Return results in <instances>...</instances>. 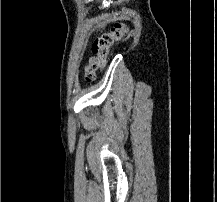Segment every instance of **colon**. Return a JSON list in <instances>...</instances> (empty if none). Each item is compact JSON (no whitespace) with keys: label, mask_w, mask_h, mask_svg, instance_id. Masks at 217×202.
Instances as JSON below:
<instances>
[{"label":"colon","mask_w":217,"mask_h":202,"mask_svg":"<svg viewBox=\"0 0 217 202\" xmlns=\"http://www.w3.org/2000/svg\"><path fill=\"white\" fill-rule=\"evenodd\" d=\"M128 27L125 22H115L109 32L99 36L92 47V55L84 67V79H95V70L104 69L106 59L113 44L127 37Z\"/></svg>","instance_id":"5ec220e1"}]
</instances>
